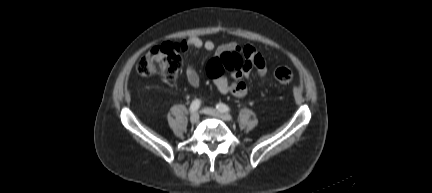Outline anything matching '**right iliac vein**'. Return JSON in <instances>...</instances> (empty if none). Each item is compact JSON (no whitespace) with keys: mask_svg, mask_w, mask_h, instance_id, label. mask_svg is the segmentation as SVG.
<instances>
[{"mask_svg":"<svg viewBox=\"0 0 432 193\" xmlns=\"http://www.w3.org/2000/svg\"><path fill=\"white\" fill-rule=\"evenodd\" d=\"M198 120H199V114H198V113H193V114H191V116H190V122H191L192 124L197 123Z\"/></svg>","mask_w":432,"mask_h":193,"instance_id":"63e3f726","label":"right iliac vein"}]
</instances>
